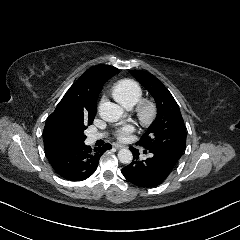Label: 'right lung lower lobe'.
<instances>
[{"label":"right lung lower lobe","mask_w":240,"mask_h":240,"mask_svg":"<svg viewBox=\"0 0 240 240\" xmlns=\"http://www.w3.org/2000/svg\"><path fill=\"white\" fill-rule=\"evenodd\" d=\"M107 143L94 150L84 143L77 148H64L46 153L54 171L62 178L70 181H82L90 177L96 170L102 154L111 149Z\"/></svg>","instance_id":"98d812e1"}]
</instances>
